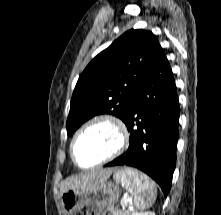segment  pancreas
<instances>
[{"instance_id": "1", "label": "pancreas", "mask_w": 221, "mask_h": 215, "mask_svg": "<svg viewBox=\"0 0 221 215\" xmlns=\"http://www.w3.org/2000/svg\"><path fill=\"white\" fill-rule=\"evenodd\" d=\"M135 211L132 210H121V211H116L112 210V215H135Z\"/></svg>"}]
</instances>
